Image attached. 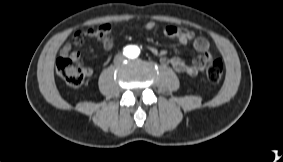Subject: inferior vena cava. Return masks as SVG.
<instances>
[{
	"label": "inferior vena cava",
	"instance_id": "602c4592",
	"mask_svg": "<svg viewBox=\"0 0 283 162\" xmlns=\"http://www.w3.org/2000/svg\"><path fill=\"white\" fill-rule=\"evenodd\" d=\"M125 60V56L121 53L117 54L114 58V63L115 64H120L121 62H123Z\"/></svg>",
	"mask_w": 283,
	"mask_h": 162
}]
</instances>
